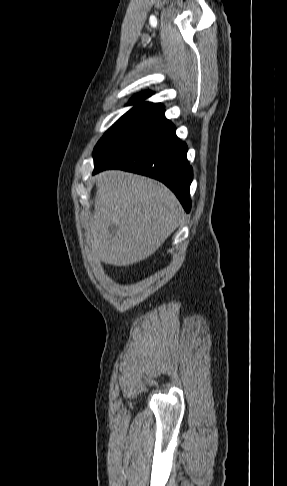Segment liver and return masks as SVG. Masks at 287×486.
I'll list each match as a JSON object with an SVG mask.
<instances>
[{"mask_svg": "<svg viewBox=\"0 0 287 486\" xmlns=\"http://www.w3.org/2000/svg\"><path fill=\"white\" fill-rule=\"evenodd\" d=\"M95 210L86 225L92 252L104 263L128 266L154 254L179 226L183 210L162 183L107 170L95 176Z\"/></svg>", "mask_w": 287, "mask_h": 486, "instance_id": "1", "label": "liver"}]
</instances>
